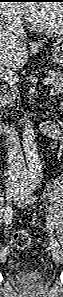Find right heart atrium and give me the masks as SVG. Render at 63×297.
Segmentation results:
<instances>
[{"label": "right heart atrium", "instance_id": "1", "mask_svg": "<svg viewBox=\"0 0 63 297\" xmlns=\"http://www.w3.org/2000/svg\"><path fill=\"white\" fill-rule=\"evenodd\" d=\"M2 11L8 20H11L13 22L15 21L18 22L22 19V12L15 7L8 6L3 8Z\"/></svg>", "mask_w": 63, "mask_h": 297}]
</instances>
